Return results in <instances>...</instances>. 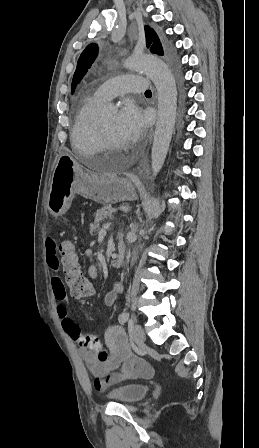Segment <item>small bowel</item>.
I'll return each mask as SVG.
<instances>
[{"label": "small bowel", "mask_w": 259, "mask_h": 448, "mask_svg": "<svg viewBox=\"0 0 259 448\" xmlns=\"http://www.w3.org/2000/svg\"><path fill=\"white\" fill-rule=\"evenodd\" d=\"M46 261L48 266L56 270L58 268V258L56 256V243L54 239L46 240ZM95 268H90V274L95 275ZM52 289L55 299L58 302L57 314L61 319L62 328L73 340L80 344L83 337L79 326L69 314V305L65 287L58 276L52 277ZM120 284L105 295L104 302L107 306L113 307L118 300ZM105 341L109 358L105 362H100L95 352L81 346L79 355L87 366L93 377L96 378L95 388L104 390L110 385L128 379L148 378L153 375L152 366L143 358L133 355L127 343L126 335L118 326H111L106 330ZM120 368L119 372L113 373Z\"/></svg>", "instance_id": "small-bowel-1"}]
</instances>
